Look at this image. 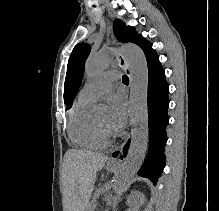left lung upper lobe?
<instances>
[{"label":"left lung upper lobe","instance_id":"left-lung-upper-lobe-1","mask_svg":"<svg viewBox=\"0 0 219 211\" xmlns=\"http://www.w3.org/2000/svg\"><path fill=\"white\" fill-rule=\"evenodd\" d=\"M114 32L117 39L121 42H133L142 48L145 56L154 51L152 44L145 40L141 35L132 28L126 26L121 20H115L113 23ZM90 52V46L86 43L77 44L69 58L67 65V74L65 79V95L66 108L69 109L72 104L74 97L81 84V80L84 73V64L86 58Z\"/></svg>","mask_w":219,"mask_h":211}]
</instances>
